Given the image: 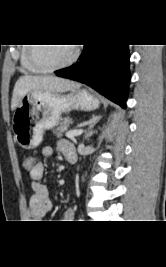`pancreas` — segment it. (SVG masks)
Instances as JSON below:
<instances>
[{"instance_id":"1","label":"pancreas","mask_w":166,"mask_h":267,"mask_svg":"<svg viewBox=\"0 0 166 267\" xmlns=\"http://www.w3.org/2000/svg\"><path fill=\"white\" fill-rule=\"evenodd\" d=\"M71 124V121L67 118H65L60 124L59 126L53 130L54 134L57 137H62L64 131H66L69 128V125Z\"/></svg>"}]
</instances>
